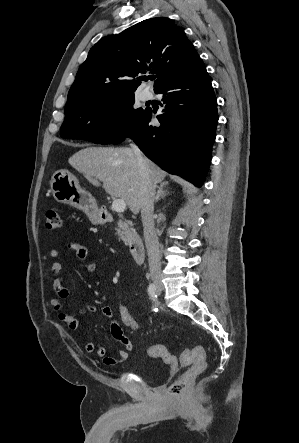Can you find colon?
<instances>
[{
  "label": "colon",
  "instance_id": "1",
  "mask_svg": "<svg viewBox=\"0 0 299 443\" xmlns=\"http://www.w3.org/2000/svg\"><path fill=\"white\" fill-rule=\"evenodd\" d=\"M61 223L60 214L56 210H48L46 212L47 228H59ZM119 317L123 327L129 332L139 333L141 331V323L129 307L122 306L119 311ZM146 351L150 357L161 359L174 371L178 369L179 365L190 366L181 377L169 386L168 392L174 397L182 395L192 381L206 369V355L201 346L183 350L179 359L160 344L150 345Z\"/></svg>",
  "mask_w": 299,
  "mask_h": 443
}]
</instances>
